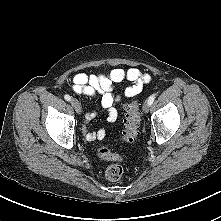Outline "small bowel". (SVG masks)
<instances>
[{"mask_svg": "<svg viewBox=\"0 0 221 221\" xmlns=\"http://www.w3.org/2000/svg\"><path fill=\"white\" fill-rule=\"evenodd\" d=\"M123 81H129L130 85L121 94H114V85ZM150 81L151 75L141 72L138 68L132 67L126 70L114 68L107 75L77 73L72 78L71 88L77 94L99 98L101 107L106 111L107 122L113 123L118 117L116 105L139 94L143 86ZM95 116V111H89L85 115L87 121H91ZM83 132L88 141L102 140L106 136L104 129L93 132L86 125L83 127Z\"/></svg>", "mask_w": 221, "mask_h": 221, "instance_id": "1", "label": "small bowel"}]
</instances>
